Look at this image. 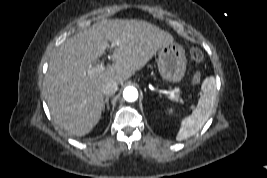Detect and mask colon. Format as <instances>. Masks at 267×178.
Segmentation results:
<instances>
[{"mask_svg":"<svg viewBox=\"0 0 267 178\" xmlns=\"http://www.w3.org/2000/svg\"><path fill=\"white\" fill-rule=\"evenodd\" d=\"M188 51L191 59L195 62H201L203 60V54L202 51L197 47L193 45L188 46ZM201 80V74L196 73L193 77V83L198 84Z\"/></svg>","mask_w":267,"mask_h":178,"instance_id":"colon-1","label":"colon"}]
</instances>
